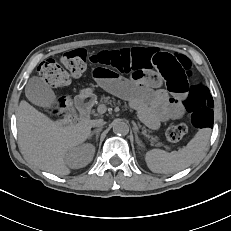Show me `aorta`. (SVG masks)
<instances>
[{
  "instance_id": "obj_1",
  "label": "aorta",
  "mask_w": 231,
  "mask_h": 231,
  "mask_svg": "<svg viewBox=\"0 0 231 231\" xmlns=\"http://www.w3.org/2000/svg\"><path fill=\"white\" fill-rule=\"evenodd\" d=\"M113 132L117 135L125 136L129 133V126L121 120H115L113 122Z\"/></svg>"
}]
</instances>
